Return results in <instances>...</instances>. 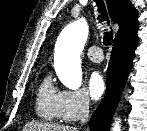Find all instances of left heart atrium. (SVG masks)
<instances>
[{"label":"left heart atrium","instance_id":"obj_1","mask_svg":"<svg viewBox=\"0 0 147 131\" xmlns=\"http://www.w3.org/2000/svg\"><path fill=\"white\" fill-rule=\"evenodd\" d=\"M105 81L99 72H93L88 78V90L93 99H99L105 92Z\"/></svg>","mask_w":147,"mask_h":131}]
</instances>
